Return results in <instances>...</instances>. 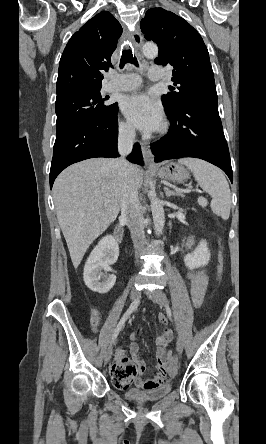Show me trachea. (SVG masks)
<instances>
[{
	"instance_id": "3493384b",
	"label": "trachea",
	"mask_w": 266,
	"mask_h": 444,
	"mask_svg": "<svg viewBox=\"0 0 266 444\" xmlns=\"http://www.w3.org/2000/svg\"><path fill=\"white\" fill-rule=\"evenodd\" d=\"M127 63L133 64L136 67L139 66L137 58L133 56L132 49L129 46L124 47L122 51L120 68H123Z\"/></svg>"
}]
</instances>
